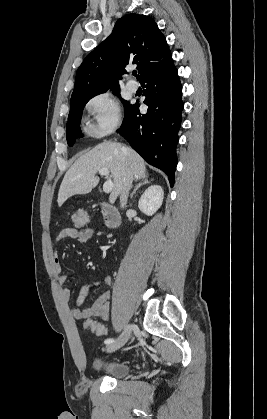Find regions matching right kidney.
<instances>
[{
  "label": "right kidney",
  "instance_id": "right-kidney-1",
  "mask_svg": "<svg viewBox=\"0 0 267 419\" xmlns=\"http://www.w3.org/2000/svg\"><path fill=\"white\" fill-rule=\"evenodd\" d=\"M163 198V188L160 185H152L140 197L138 208L144 214L152 216L162 205Z\"/></svg>",
  "mask_w": 267,
  "mask_h": 419
}]
</instances>
